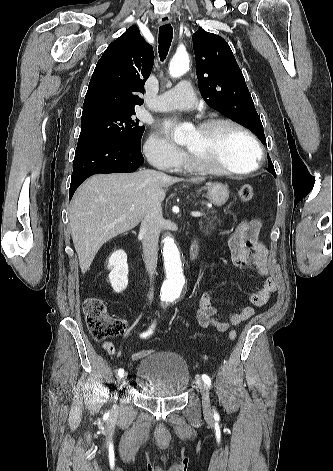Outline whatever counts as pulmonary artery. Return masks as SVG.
Listing matches in <instances>:
<instances>
[{
    "label": "pulmonary artery",
    "mask_w": 333,
    "mask_h": 471,
    "mask_svg": "<svg viewBox=\"0 0 333 471\" xmlns=\"http://www.w3.org/2000/svg\"><path fill=\"white\" fill-rule=\"evenodd\" d=\"M195 104L192 86L187 81L178 83L171 90L159 95L152 108L156 111L188 110Z\"/></svg>",
    "instance_id": "pulmonary-artery-1"
}]
</instances>
